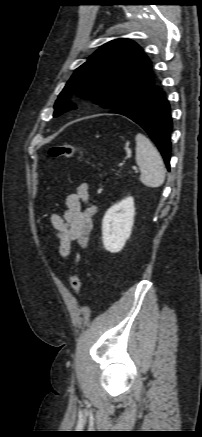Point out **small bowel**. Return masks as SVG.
<instances>
[{
	"label": "small bowel",
	"instance_id": "obj_1",
	"mask_svg": "<svg viewBox=\"0 0 202 437\" xmlns=\"http://www.w3.org/2000/svg\"><path fill=\"white\" fill-rule=\"evenodd\" d=\"M66 209L63 214L52 213L50 222L59 240V254L67 259L74 243L86 247L93 229V216L96 207L89 203L88 184L82 183L75 193L65 199ZM85 205V207H84Z\"/></svg>",
	"mask_w": 202,
	"mask_h": 437
}]
</instances>
